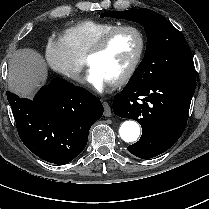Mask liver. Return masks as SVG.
I'll return each instance as SVG.
<instances>
[{
  "label": "liver",
  "mask_w": 209,
  "mask_h": 209,
  "mask_svg": "<svg viewBox=\"0 0 209 209\" xmlns=\"http://www.w3.org/2000/svg\"><path fill=\"white\" fill-rule=\"evenodd\" d=\"M46 78V63L37 51L30 48L20 49L10 59L8 86L18 95L31 97Z\"/></svg>",
  "instance_id": "obj_1"
}]
</instances>
